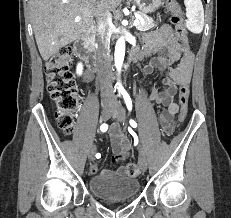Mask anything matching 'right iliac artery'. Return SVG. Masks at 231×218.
<instances>
[{
	"label": "right iliac artery",
	"mask_w": 231,
	"mask_h": 218,
	"mask_svg": "<svg viewBox=\"0 0 231 218\" xmlns=\"http://www.w3.org/2000/svg\"><path fill=\"white\" fill-rule=\"evenodd\" d=\"M108 129V125L106 123H103L101 126H100V130L102 132H105L106 130ZM101 157V154L100 153H97L96 154V158H100Z\"/></svg>",
	"instance_id": "right-iliac-artery-1"
}]
</instances>
